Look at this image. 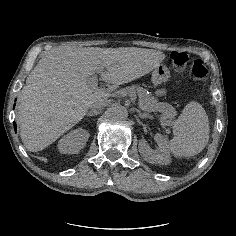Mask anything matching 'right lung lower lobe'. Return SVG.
I'll list each match as a JSON object with an SVG mask.
<instances>
[{"label":"right lung lower lobe","instance_id":"1","mask_svg":"<svg viewBox=\"0 0 236 236\" xmlns=\"http://www.w3.org/2000/svg\"><path fill=\"white\" fill-rule=\"evenodd\" d=\"M14 129H15V131H16V123L14 122Z\"/></svg>","mask_w":236,"mask_h":236}]
</instances>
